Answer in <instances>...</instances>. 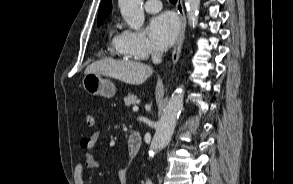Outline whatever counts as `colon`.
Instances as JSON below:
<instances>
[{"mask_svg":"<svg viewBox=\"0 0 293 184\" xmlns=\"http://www.w3.org/2000/svg\"><path fill=\"white\" fill-rule=\"evenodd\" d=\"M87 126L93 127L95 125V117L92 114H88L86 116Z\"/></svg>","mask_w":293,"mask_h":184,"instance_id":"1","label":"colon"}]
</instances>
